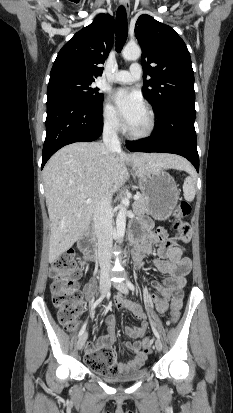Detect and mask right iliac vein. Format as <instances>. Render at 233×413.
Segmentation results:
<instances>
[{"instance_id":"obj_1","label":"right iliac vein","mask_w":233,"mask_h":413,"mask_svg":"<svg viewBox=\"0 0 233 413\" xmlns=\"http://www.w3.org/2000/svg\"><path fill=\"white\" fill-rule=\"evenodd\" d=\"M109 287H110L109 277L106 276L101 280V283H100L101 292L106 293L108 291ZM87 337H88V334H87V332H85L79 338L78 343H77V348L79 350H81L83 348V346L85 345Z\"/></svg>"}]
</instances>
